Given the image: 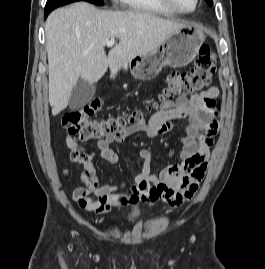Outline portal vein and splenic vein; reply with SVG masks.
Masks as SVG:
<instances>
[{"instance_id": "1", "label": "portal vein and splenic vein", "mask_w": 265, "mask_h": 269, "mask_svg": "<svg viewBox=\"0 0 265 269\" xmlns=\"http://www.w3.org/2000/svg\"><path fill=\"white\" fill-rule=\"evenodd\" d=\"M116 40L115 39H111L109 41H107L106 45L107 47H112L115 44Z\"/></svg>"}]
</instances>
